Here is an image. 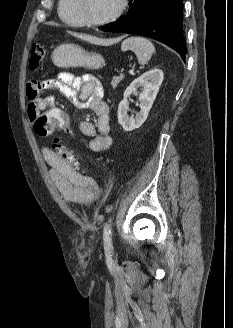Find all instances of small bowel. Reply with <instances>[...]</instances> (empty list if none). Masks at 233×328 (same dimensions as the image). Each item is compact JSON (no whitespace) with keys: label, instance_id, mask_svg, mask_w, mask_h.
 I'll list each match as a JSON object with an SVG mask.
<instances>
[{"label":"small bowel","instance_id":"small-bowel-1","mask_svg":"<svg viewBox=\"0 0 233 328\" xmlns=\"http://www.w3.org/2000/svg\"><path fill=\"white\" fill-rule=\"evenodd\" d=\"M50 89L59 90L77 107L89 108L97 115L96 126L89 121H82L79 130L91 138L89 147L93 152L101 154L109 151L113 146L114 136L110 124V110L104 102L100 81L92 75L74 77L70 73L62 72L53 79L28 83L26 93L31 121L41 115L42 111L55 109L52 96L42 97V93ZM42 153L50 166L51 180L66 200L84 203L98 196L99 187L93 178L81 174L48 147H43Z\"/></svg>","mask_w":233,"mask_h":328}]
</instances>
